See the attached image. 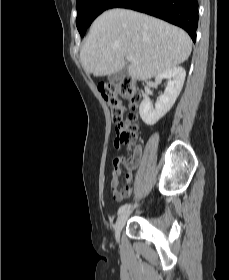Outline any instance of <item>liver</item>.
Returning a JSON list of instances; mask_svg holds the SVG:
<instances>
[{"instance_id":"liver-1","label":"liver","mask_w":229,"mask_h":280,"mask_svg":"<svg viewBox=\"0 0 229 280\" xmlns=\"http://www.w3.org/2000/svg\"><path fill=\"white\" fill-rule=\"evenodd\" d=\"M192 41L182 29L127 9H111L92 24L80 51L86 74L111 75L133 56L128 73L145 81L186 61Z\"/></svg>"}]
</instances>
